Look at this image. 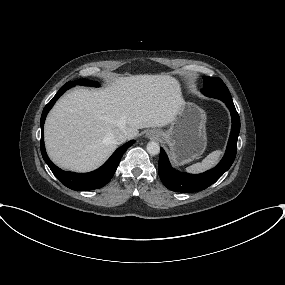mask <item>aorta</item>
Here are the masks:
<instances>
[{
	"mask_svg": "<svg viewBox=\"0 0 285 285\" xmlns=\"http://www.w3.org/2000/svg\"><path fill=\"white\" fill-rule=\"evenodd\" d=\"M146 149L150 155H157L160 152V146L155 141L148 142Z\"/></svg>",
	"mask_w": 285,
	"mask_h": 285,
	"instance_id": "762f6f07",
	"label": "aorta"
}]
</instances>
